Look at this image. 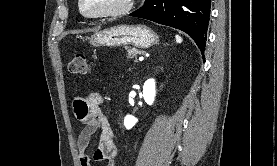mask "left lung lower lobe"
<instances>
[{
  "mask_svg": "<svg viewBox=\"0 0 277 166\" xmlns=\"http://www.w3.org/2000/svg\"><path fill=\"white\" fill-rule=\"evenodd\" d=\"M211 0H146L130 16L154 21L186 32L203 53Z\"/></svg>",
  "mask_w": 277,
  "mask_h": 166,
  "instance_id": "1",
  "label": "left lung lower lobe"
}]
</instances>
